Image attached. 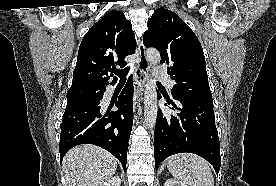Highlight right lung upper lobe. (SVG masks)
I'll return each instance as SVG.
<instances>
[{
  "mask_svg": "<svg viewBox=\"0 0 276 186\" xmlns=\"http://www.w3.org/2000/svg\"><path fill=\"white\" fill-rule=\"evenodd\" d=\"M135 47V34L124 13L108 12L82 39L70 89L106 87L109 78L117 74L115 66L123 68L127 64L125 57L133 54ZM116 81L114 77L112 84Z\"/></svg>",
  "mask_w": 276,
  "mask_h": 186,
  "instance_id": "obj_1",
  "label": "right lung upper lobe"
}]
</instances>
